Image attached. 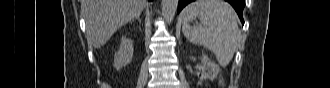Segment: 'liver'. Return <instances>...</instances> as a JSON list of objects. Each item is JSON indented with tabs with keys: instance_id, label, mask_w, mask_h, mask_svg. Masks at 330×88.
Here are the masks:
<instances>
[{
	"instance_id": "1",
	"label": "liver",
	"mask_w": 330,
	"mask_h": 88,
	"mask_svg": "<svg viewBox=\"0 0 330 88\" xmlns=\"http://www.w3.org/2000/svg\"><path fill=\"white\" fill-rule=\"evenodd\" d=\"M146 0H82L87 39L95 48L105 45L123 25L138 17Z\"/></svg>"
}]
</instances>
